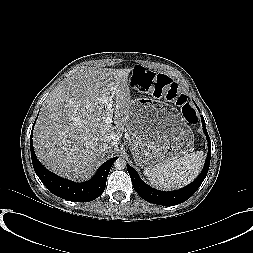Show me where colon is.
Segmentation results:
<instances>
[{
    "label": "colon",
    "mask_w": 253,
    "mask_h": 253,
    "mask_svg": "<svg viewBox=\"0 0 253 253\" xmlns=\"http://www.w3.org/2000/svg\"><path fill=\"white\" fill-rule=\"evenodd\" d=\"M133 78L138 80H148L154 84L153 94L159 100L168 99L180 106L187 121L196 122V113L187 102V97L177 91L175 84L162 74L148 72L141 66H137L133 72Z\"/></svg>",
    "instance_id": "5ec220e1"
}]
</instances>
